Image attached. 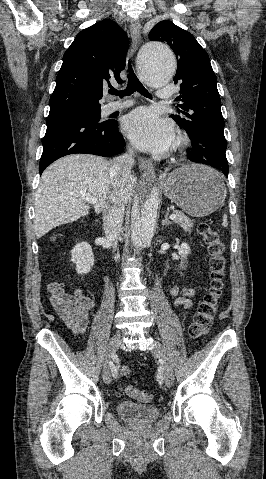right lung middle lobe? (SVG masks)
Listing matches in <instances>:
<instances>
[{"mask_svg": "<svg viewBox=\"0 0 266 479\" xmlns=\"http://www.w3.org/2000/svg\"><path fill=\"white\" fill-rule=\"evenodd\" d=\"M63 113H71L75 115H80L84 116L87 118H90L96 122L100 121V113L101 109L100 107H92V108H75V109H70L63 111Z\"/></svg>", "mask_w": 266, "mask_h": 479, "instance_id": "right-lung-middle-lobe-1", "label": "right lung middle lobe"}]
</instances>
